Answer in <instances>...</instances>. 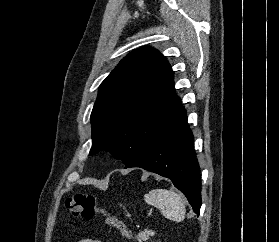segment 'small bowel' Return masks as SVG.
Returning a JSON list of instances; mask_svg holds the SVG:
<instances>
[{"label": "small bowel", "mask_w": 279, "mask_h": 242, "mask_svg": "<svg viewBox=\"0 0 279 242\" xmlns=\"http://www.w3.org/2000/svg\"><path fill=\"white\" fill-rule=\"evenodd\" d=\"M79 242H102V241L97 240V239L84 238V239H81Z\"/></svg>", "instance_id": "1"}]
</instances>
